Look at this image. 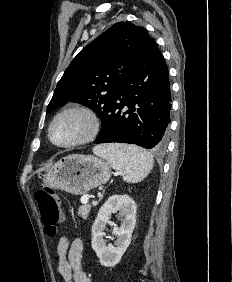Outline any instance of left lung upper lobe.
<instances>
[{"mask_svg":"<svg viewBox=\"0 0 232 282\" xmlns=\"http://www.w3.org/2000/svg\"><path fill=\"white\" fill-rule=\"evenodd\" d=\"M150 39L141 26L128 22L111 26L72 60L55 88L47 113L76 102L103 120Z\"/></svg>","mask_w":232,"mask_h":282,"instance_id":"left-lung-upper-lobe-1","label":"left lung upper lobe"}]
</instances>
